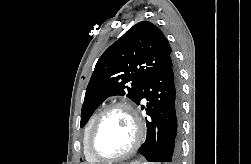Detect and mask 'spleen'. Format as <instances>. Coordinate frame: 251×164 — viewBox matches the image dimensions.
Returning a JSON list of instances; mask_svg holds the SVG:
<instances>
[{
    "mask_svg": "<svg viewBox=\"0 0 251 164\" xmlns=\"http://www.w3.org/2000/svg\"><path fill=\"white\" fill-rule=\"evenodd\" d=\"M143 164H150V163L145 162V163H143Z\"/></svg>",
    "mask_w": 251,
    "mask_h": 164,
    "instance_id": "1",
    "label": "spleen"
}]
</instances>
